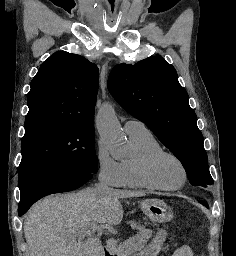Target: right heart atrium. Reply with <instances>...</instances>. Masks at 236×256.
Segmentation results:
<instances>
[{
    "instance_id": "right-heart-atrium-1",
    "label": "right heart atrium",
    "mask_w": 236,
    "mask_h": 256,
    "mask_svg": "<svg viewBox=\"0 0 236 256\" xmlns=\"http://www.w3.org/2000/svg\"><path fill=\"white\" fill-rule=\"evenodd\" d=\"M94 158L98 177L103 183L115 188L124 186L122 164L109 153L102 141L97 143Z\"/></svg>"
}]
</instances>
